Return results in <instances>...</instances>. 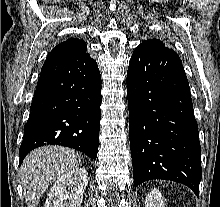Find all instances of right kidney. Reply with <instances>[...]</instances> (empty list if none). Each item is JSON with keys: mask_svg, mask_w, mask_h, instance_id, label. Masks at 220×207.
Wrapping results in <instances>:
<instances>
[{"mask_svg": "<svg viewBox=\"0 0 220 207\" xmlns=\"http://www.w3.org/2000/svg\"><path fill=\"white\" fill-rule=\"evenodd\" d=\"M88 184V173L76 167L60 176L50 189L45 207H81Z\"/></svg>", "mask_w": 220, "mask_h": 207, "instance_id": "right-kidney-1", "label": "right kidney"}]
</instances>
